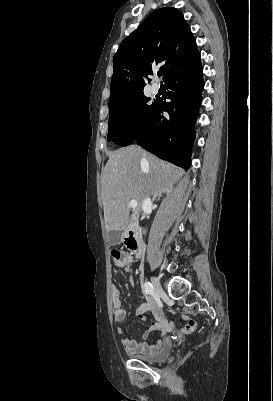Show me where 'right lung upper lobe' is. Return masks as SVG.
I'll list each match as a JSON object with an SVG mask.
<instances>
[{
    "label": "right lung upper lobe",
    "mask_w": 273,
    "mask_h": 401,
    "mask_svg": "<svg viewBox=\"0 0 273 401\" xmlns=\"http://www.w3.org/2000/svg\"><path fill=\"white\" fill-rule=\"evenodd\" d=\"M200 58L189 25L175 8H160L125 38L113 58L109 107L143 93L155 64L164 81L180 65Z\"/></svg>",
    "instance_id": "right-lung-upper-lobe-1"
}]
</instances>
